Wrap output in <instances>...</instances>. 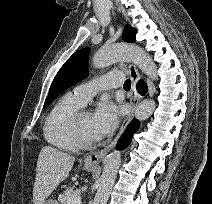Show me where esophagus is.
I'll return each instance as SVG.
<instances>
[{
    "label": "esophagus",
    "mask_w": 212,
    "mask_h": 204,
    "mask_svg": "<svg viewBox=\"0 0 212 204\" xmlns=\"http://www.w3.org/2000/svg\"><path fill=\"white\" fill-rule=\"evenodd\" d=\"M128 73H129V76L132 81V89H131V93H130L131 110H130L129 114L126 116V118L124 119V121L121 125V128H120L117 136L113 139V141L111 143H109L106 147H104L102 150L92 153L85 158L84 163L87 166L93 167V166H97L100 164V162L105 158V156L114 148L118 139L122 135L123 131L128 126V124L131 122V120L134 116V111H135L138 103L141 100V96L136 91V84L141 79V75H140L138 69L135 67V65H133L131 63L128 64Z\"/></svg>",
    "instance_id": "obj_1"
}]
</instances>
